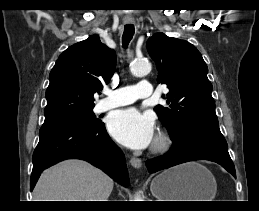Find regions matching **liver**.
Listing matches in <instances>:
<instances>
[{
    "mask_svg": "<svg viewBox=\"0 0 259 211\" xmlns=\"http://www.w3.org/2000/svg\"><path fill=\"white\" fill-rule=\"evenodd\" d=\"M113 180L82 160H65L45 170L33 192L34 201H108Z\"/></svg>",
    "mask_w": 259,
    "mask_h": 211,
    "instance_id": "6515ba94",
    "label": "liver"
}]
</instances>
